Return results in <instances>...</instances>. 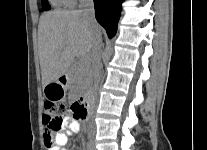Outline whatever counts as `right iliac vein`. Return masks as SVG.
<instances>
[{
  "instance_id": "63e3f726",
  "label": "right iliac vein",
  "mask_w": 207,
  "mask_h": 150,
  "mask_svg": "<svg viewBox=\"0 0 207 150\" xmlns=\"http://www.w3.org/2000/svg\"><path fill=\"white\" fill-rule=\"evenodd\" d=\"M90 148H91V147H90V145H89V146H88V150H91Z\"/></svg>"
}]
</instances>
